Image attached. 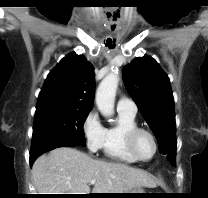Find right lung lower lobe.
I'll return each mask as SVG.
<instances>
[{
	"instance_id": "98d812e1",
	"label": "right lung lower lobe",
	"mask_w": 208,
	"mask_h": 198,
	"mask_svg": "<svg viewBox=\"0 0 208 198\" xmlns=\"http://www.w3.org/2000/svg\"><path fill=\"white\" fill-rule=\"evenodd\" d=\"M78 144L67 141V140H62V139H58V140H54L51 142H48L40 147H37L36 149H31V153H30V164L32 165V163L34 162V160L42 153L53 150L55 148H59V147H72V146H77Z\"/></svg>"
}]
</instances>
